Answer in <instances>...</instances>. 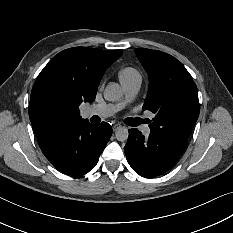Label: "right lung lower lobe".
<instances>
[{
  "label": "right lung lower lobe",
  "instance_id": "98d812e1",
  "mask_svg": "<svg viewBox=\"0 0 233 233\" xmlns=\"http://www.w3.org/2000/svg\"><path fill=\"white\" fill-rule=\"evenodd\" d=\"M112 134L111 126L87 120L71 122L37 136L46 158L61 172L80 176L91 171Z\"/></svg>",
  "mask_w": 233,
  "mask_h": 233
}]
</instances>
